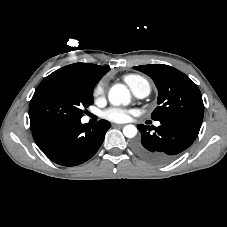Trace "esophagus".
<instances>
[{
	"label": "esophagus",
	"instance_id": "34e87169",
	"mask_svg": "<svg viewBox=\"0 0 227 227\" xmlns=\"http://www.w3.org/2000/svg\"><path fill=\"white\" fill-rule=\"evenodd\" d=\"M115 127H123V124H114Z\"/></svg>",
	"mask_w": 227,
	"mask_h": 227
}]
</instances>
